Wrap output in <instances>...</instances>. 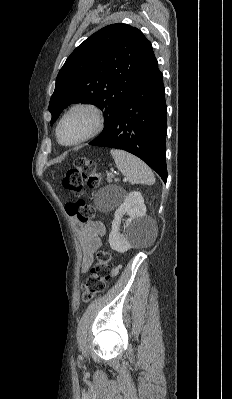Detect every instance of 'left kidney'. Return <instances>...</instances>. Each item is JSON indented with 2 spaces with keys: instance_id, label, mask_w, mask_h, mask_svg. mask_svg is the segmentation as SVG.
<instances>
[{
  "instance_id": "1",
  "label": "left kidney",
  "mask_w": 232,
  "mask_h": 399,
  "mask_svg": "<svg viewBox=\"0 0 232 399\" xmlns=\"http://www.w3.org/2000/svg\"><path fill=\"white\" fill-rule=\"evenodd\" d=\"M129 215L126 221L125 233H120L121 217ZM151 221L146 215V205L140 192H130L118 209L112 221V229L109 233V243L112 249L124 253L136 243H141L150 233Z\"/></svg>"
}]
</instances>
